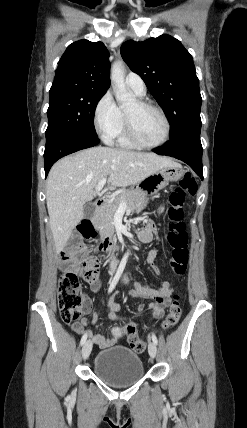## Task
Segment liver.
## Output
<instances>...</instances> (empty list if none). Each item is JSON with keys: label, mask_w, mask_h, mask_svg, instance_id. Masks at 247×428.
Returning a JSON list of instances; mask_svg holds the SVG:
<instances>
[{"label": "liver", "mask_w": 247, "mask_h": 428, "mask_svg": "<svg viewBox=\"0 0 247 428\" xmlns=\"http://www.w3.org/2000/svg\"><path fill=\"white\" fill-rule=\"evenodd\" d=\"M180 166L153 153L92 147L59 160L47 178L46 203L56 253L67 244L84 217V205L97 194L99 181L108 187L135 185L165 167Z\"/></svg>", "instance_id": "6515ba94"}]
</instances>
